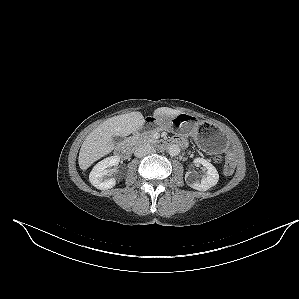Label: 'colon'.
<instances>
[{"mask_svg":"<svg viewBox=\"0 0 299 299\" xmlns=\"http://www.w3.org/2000/svg\"><path fill=\"white\" fill-rule=\"evenodd\" d=\"M214 160L216 162H220L221 161V156L215 155ZM234 166H235V164H234L233 160H229L227 162L226 166H225V173L226 174H231L233 172Z\"/></svg>","mask_w":299,"mask_h":299,"instance_id":"colon-1","label":"colon"}]
</instances>
